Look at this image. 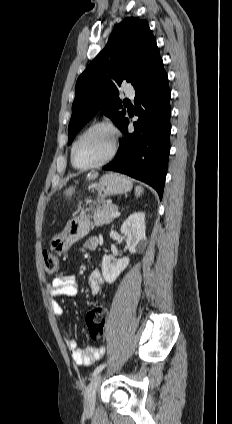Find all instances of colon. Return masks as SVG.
Segmentation results:
<instances>
[{"mask_svg": "<svg viewBox=\"0 0 232 424\" xmlns=\"http://www.w3.org/2000/svg\"><path fill=\"white\" fill-rule=\"evenodd\" d=\"M43 263L47 273L56 272L59 266L57 256L49 250L43 252ZM107 315L108 310L105 306H98L86 315V325L89 335L93 340H98L102 337Z\"/></svg>", "mask_w": 232, "mask_h": 424, "instance_id": "1", "label": "colon"}]
</instances>
